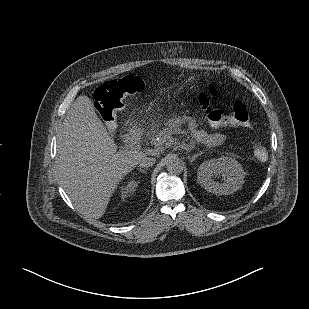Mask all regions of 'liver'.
<instances>
[{
  "mask_svg": "<svg viewBox=\"0 0 309 309\" xmlns=\"http://www.w3.org/2000/svg\"><path fill=\"white\" fill-rule=\"evenodd\" d=\"M145 154L119 150L98 118L88 96H79L68 110L57 139L61 184L76 208L99 219L122 178Z\"/></svg>",
  "mask_w": 309,
  "mask_h": 309,
  "instance_id": "6515ba94",
  "label": "liver"
}]
</instances>
